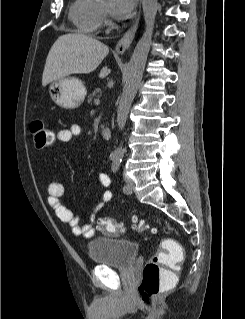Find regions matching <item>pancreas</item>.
<instances>
[{"label": "pancreas", "mask_w": 245, "mask_h": 319, "mask_svg": "<svg viewBox=\"0 0 245 319\" xmlns=\"http://www.w3.org/2000/svg\"><path fill=\"white\" fill-rule=\"evenodd\" d=\"M101 94V89L100 88H96L94 91H92V93H90L88 95V101H92L93 99L99 97V95Z\"/></svg>", "instance_id": "cf45deb5"}]
</instances>
